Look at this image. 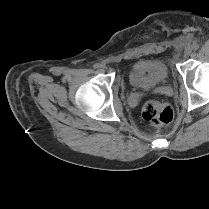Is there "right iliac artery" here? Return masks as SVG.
I'll list each match as a JSON object with an SVG mask.
<instances>
[{
	"label": "right iliac artery",
	"mask_w": 209,
	"mask_h": 209,
	"mask_svg": "<svg viewBox=\"0 0 209 209\" xmlns=\"http://www.w3.org/2000/svg\"><path fill=\"white\" fill-rule=\"evenodd\" d=\"M95 69L96 68H99L100 67V65L99 64H94V66H93Z\"/></svg>",
	"instance_id": "82829eb1"
}]
</instances>
